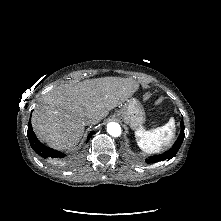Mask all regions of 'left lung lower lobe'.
<instances>
[{"label": "left lung lower lobe", "instance_id": "1", "mask_svg": "<svg viewBox=\"0 0 221 221\" xmlns=\"http://www.w3.org/2000/svg\"><path fill=\"white\" fill-rule=\"evenodd\" d=\"M180 126H181L180 135H179L178 139L176 140V142L174 143V145L172 146V148L169 149L164 154L153 156V157L146 159V163H156L159 161H164L166 159L170 160L171 158H173L176 155V153L179 150V148L183 142V139H184V123L181 122Z\"/></svg>", "mask_w": 221, "mask_h": 221}]
</instances>
